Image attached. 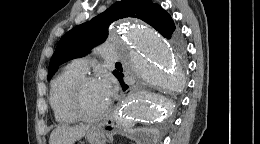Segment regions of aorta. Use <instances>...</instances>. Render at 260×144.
Wrapping results in <instances>:
<instances>
[{"label": "aorta", "instance_id": "obj_1", "mask_svg": "<svg viewBox=\"0 0 260 144\" xmlns=\"http://www.w3.org/2000/svg\"><path fill=\"white\" fill-rule=\"evenodd\" d=\"M118 37V36H117ZM121 55L126 66L144 82L165 89L180 85V64L170 43L142 22L128 24L120 35ZM170 100L166 97L138 92L125 101L119 111L120 123L134 126L139 122H157L166 115Z\"/></svg>", "mask_w": 260, "mask_h": 144}]
</instances>
